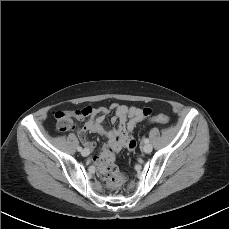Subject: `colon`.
I'll return each instance as SVG.
<instances>
[{
	"instance_id": "5ec220e1",
	"label": "colon",
	"mask_w": 229,
	"mask_h": 229,
	"mask_svg": "<svg viewBox=\"0 0 229 229\" xmlns=\"http://www.w3.org/2000/svg\"><path fill=\"white\" fill-rule=\"evenodd\" d=\"M142 114L144 117H148L151 114V109L148 107L142 108ZM88 113L84 112V116ZM74 118L73 112H61L58 114V128L60 131H67L74 128ZM151 121L157 123H167L169 117L164 114H158L151 118ZM115 153L111 149H106L101 155V169L100 176L105 180L107 185L112 190H119L122 188L126 182L125 175L118 169L115 164Z\"/></svg>"
}]
</instances>
